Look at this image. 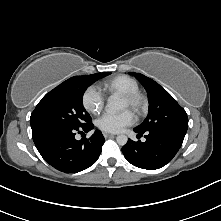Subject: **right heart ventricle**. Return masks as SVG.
Wrapping results in <instances>:
<instances>
[{"label":"right heart ventricle","instance_id":"right-heart-ventricle-1","mask_svg":"<svg viewBox=\"0 0 221 221\" xmlns=\"http://www.w3.org/2000/svg\"><path fill=\"white\" fill-rule=\"evenodd\" d=\"M103 89L109 94L125 95L128 93L138 92V82L130 76L118 75L111 78L103 84Z\"/></svg>","mask_w":221,"mask_h":221}]
</instances>
